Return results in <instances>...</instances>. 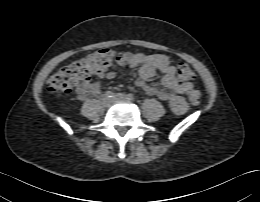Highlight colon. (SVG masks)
<instances>
[{
	"label": "colon",
	"mask_w": 260,
	"mask_h": 202,
	"mask_svg": "<svg viewBox=\"0 0 260 202\" xmlns=\"http://www.w3.org/2000/svg\"><path fill=\"white\" fill-rule=\"evenodd\" d=\"M115 56V52L110 48L93 51L61 67L49 78L47 88L52 92L70 93L74 90L77 92L93 75L106 71ZM177 70L179 78L183 81H191L196 77L195 72L186 63H179ZM188 98L191 103L197 104L201 93L197 89H192L188 93Z\"/></svg>",
	"instance_id": "obj_1"
}]
</instances>
